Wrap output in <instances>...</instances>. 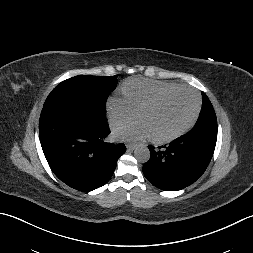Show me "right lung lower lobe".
I'll use <instances>...</instances> for the list:
<instances>
[{
    "mask_svg": "<svg viewBox=\"0 0 253 253\" xmlns=\"http://www.w3.org/2000/svg\"><path fill=\"white\" fill-rule=\"evenodd\" d=\"M110 133L105 115L70 103L43 107L40 142L54 174L68 186L89 192L113 175L123 143H106Z\"/></svg>",
    "mask_w": 253,
    "mask_h": 253,
    "instance_id": "right-lung-lower-lobe-1",
    "label": "right lung lower lobe"
}]
</instances>
